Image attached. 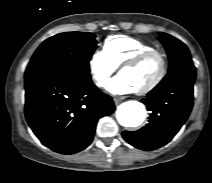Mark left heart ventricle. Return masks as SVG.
<instances>
[{"label": "left heart ventricle", "mask_w": 212, "mask_h": 183, "mask_svg": "<svg viewBox=\"0 0 212 183\" xmlns=\"http://www.w3.org/2000/svg\"><path fill=\"white\" fill-rule=\"evenodd\" d=\"M161 62L158 57H151L140 65L121 72L136 90L149 85L158 75Z\"/></svg>", "instance_id": "left-heart-ventricle-1"}]
</instances>
